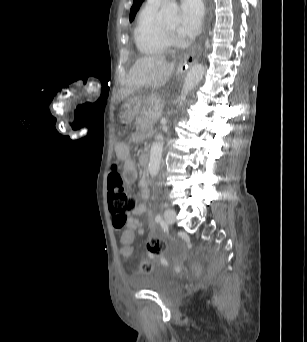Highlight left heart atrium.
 <instances>
[{
  "mask_svg": "<svg viewBox=\"0 0 307 342\" xmlns=\"http://www.w3.org/2000/svg\"><path fill=\"white\" fill-rule=\"evenodd\" d=\"M203 19V8L198 1H186L181 5V21L175 37L180 43H190L199 33Z\"/></svg>",
  "mask_w": 307,
  "mask_h": 342,
  "instance_id": "39dd6f15",
  "label": "left heart atrium"
}]
</instances>
